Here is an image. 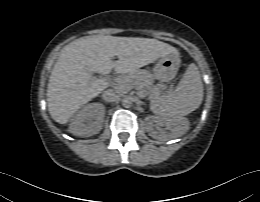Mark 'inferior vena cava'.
<instances>
[{"instance_id": "1", "label": "inferior vena cava", "mask_w": 260, "mask_h": 202, "mask_svg": "<svg viewBox=\"0 0 260 202\" xmlns=\"http://www.w3.org/2000/svg\"><path fill=\"white\" fill-rule=\"evenodd\" d=\"M120 92L116 89H107L103 92L102 97L107 102H116L120 99Z\"/></svg>"}]
</instances>
